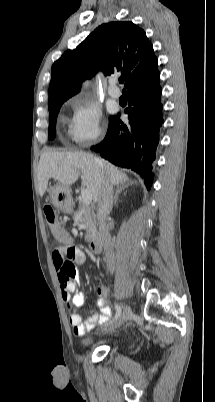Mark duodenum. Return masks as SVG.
<instances>
[{
    "instance_id": "1",
    "label": "duodenum",
    "mask_w": 215,
    "mask_h": 402,
    "mask_svg": "<svg viewBox=\"0 0 215 402\" xmlns=\"http://www.w3.org/2000/svg\"><path fill=\"white\" fill-rule=\"evenodd\" d=\"M90 248L94 253H100L104 249V240L101 237H96L90 242Z\"/></svg>"
}]
</instances>
